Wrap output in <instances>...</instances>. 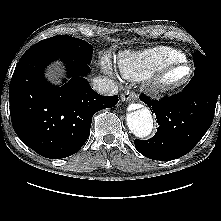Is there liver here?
I'll return each instance as SVG.
<instances>
[{"label":"liver","instance_id":"obj_1","mask_svg":"<svg viewBox=\"0 0 221 221\" xmlns=\"http://www.w3.org/2000/svg\"><path fill=\"white\" fill-rule=\"evenodd\" d=\"M63 73V69L60 64L55 63L51 66L48 75L52 80H57Z\"/></svg>","mask_w":221,"mask_h":221}]
</instances>
